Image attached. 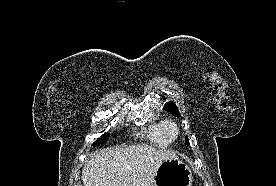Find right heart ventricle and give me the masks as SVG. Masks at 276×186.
Instances as JSON below:
<instances>
[{
    "instance_id": "1",
    "label": "right heart ventricle",
    "mask_w": 276,
    "mask_h": 186,
    "mask_svg": "<svg viewBox=\"0 0 276 186\" xmlns=\"http://www.w3.org/2000/svg\"><path fill=\"white\" fill-rule=\"evenodd\" d=\"M142 135L158 147H167L169 141L163 133V122H153L142 131Z\"/></svg>"
}]
</instances>
